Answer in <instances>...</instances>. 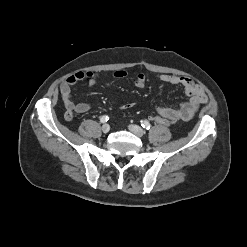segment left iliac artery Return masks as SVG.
Listing matches in <instances>:
<instances>
[{
    "instance_id": "obj_1",
    "label": "left iliac artery",
    "mask_w": 247,
    "mask_h": 247,
    "mask_svg": "<svg viewBox=\"0 0 247 247\" xmlns=\"http://www.w3.org/2000/svg\"><path fill=\"white\" fill-rule=\"evenodd\" d=\"M141 126L147 130L150 129V127H151L150 123L147 120H142Z\"/></svg>"
}]
</instances>
